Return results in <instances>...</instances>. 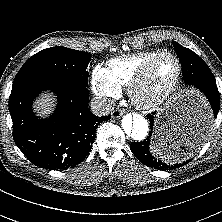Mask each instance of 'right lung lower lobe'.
Here are the masks:
<instances>
[{"mask_svg": "<svg viewBox=\"0 0 222 222\" xmlns=\"http://www.w3.org/2000/svg\"><path fill=\"white\" fill-rule=\"evenodd\" d=\"M48 89L57 94L58 104L50 118L38 119L32 101ZM88 102L86 87L43 74L16 76L9 97L16 145L28 160L45 169L79 164L91 150L98 125L111 118L94 115Z\"/></svg>", "mask_w": 222, "mask_h": 222, "instance_id": "98d812e1", "label": "right lung lower lobe"}]
</instances>
